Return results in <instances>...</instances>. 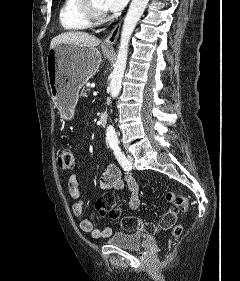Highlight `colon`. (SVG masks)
Masks as SVG:
<instances>
[{
  "label": "colon",
  "mask_w": 240,
  "mask_h": 281,
  "mask_svg": "<svg viewBox=\"0 0 240 281\" xmlns=\"http://www.w3.org/2000/svg\"><path fill=\"white\" fill-rule=\"evenodd\" d=\"M58 167L62 171H71L75 168L76 159L73 151L64 148L57 158ZM166 202L171 204L168 211L161 217L158 224L143 220L134 216H121V211L115 206V200L110 195H103L95 202V209L100 214H108L112 219H120V225L127 231H143L145 233H156L159 229H169L173 227L172 235L177 238L182 232V225L176 224L180 213H187L189 201L186 197L180 196L173 191H167L163 195Z\"/></svg>",
  "instance_id": "1"
}]
</instances>
